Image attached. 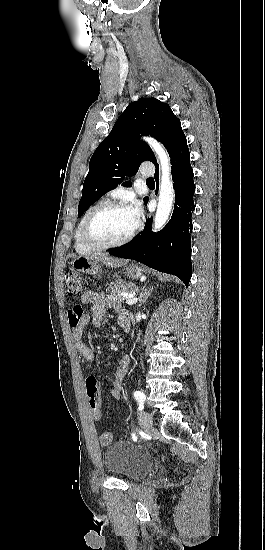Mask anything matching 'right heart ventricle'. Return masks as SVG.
Returning a JSON list of instances; mask_svg holds the SVG:
<instances>
[{
    "label": "right heart ventricle",
    "instance_id": "1",
    "mask_svg": "<svg viewBox=\"0 0 265 550\" xmlns=\"http://www.w3.org/2000/svg\"><path fill=\"white\" fill-rule=\"evenodd\" d=\"M104 200L101 199V200H98L96 203H94L85 213L84 215L81 217V219L79 220L78 224H77V227L75 229V233H74V246H75V250L78 252V253H81V254H87V253H90L92 252L94 249L89 247L88 245H86L81 237V226H82V222L84 220V218L86 217V215L92 210L94 209L96 206H98L99 204L103 203Z\"/></svg>",
    "mask_w": 265,
    "mask_h": 550
}]
</instances>
